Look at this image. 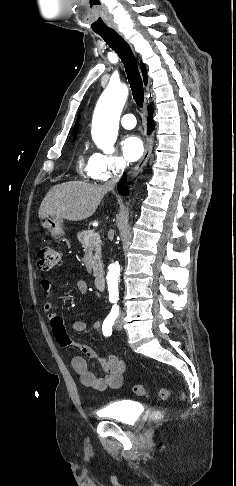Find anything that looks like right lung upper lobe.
<instances>
[{
  "label": "right lung upper lobe",
  "mask_w": 236,
  "mask_h": 486,
  "mask_svg": "<svg viewBox=\"0 0 236 486\" xmlns=\"http://www.w3.org/2000/svg\"><path fill=\"white\" fill-rule=\"evenodd\" d=\"M141 71H142V74H143L144 83L147 84L146 67L143 63H141ZM78 120H79V117H78L77 121ZM77 131H78V122L75 124L74 133L76 134ZM75 137H76V135H75Z\"/></svg>",
  "instance_id": "1"
}]
</instances>
